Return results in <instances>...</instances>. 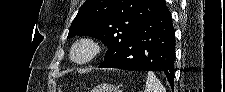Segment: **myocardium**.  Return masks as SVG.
I'll return each instance as SVG.
<instances>
[{
	"label": "myocardium",
	"instance_id": "myocardium-1",
	"mask_svg": "<svg viewBox=\"0 0 225 92\" xmlns=\"http://www.w3.org/2000/svg\"><path fill=\"white\" fill-rule=\"evenodd\" d=\"M100 51L101 46L96 39L92 37H82L73 43L69 55L74 64L85 65L95 59Z\"/></svg>",
	"mask_w": 225,
	"mask_h": 92
}]
</instances>
